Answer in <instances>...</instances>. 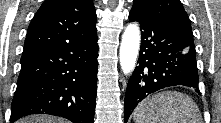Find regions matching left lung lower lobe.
<instances>
[{
  "instance_id": "1",
  "label": "left lung lower lobe",
  "mask_w": 221,
  "mask_h": 123,
  "mask_svg": "<svg viewBox=\"0 0 221 123\" xmlns=\"http://www.w3.org/2000/svg\"><path fill=\"white\" fill-rule=\"evenodd\" d=\"M129 20L139 22L142 42L138 67L126 89L125 123L137 104L155 91L184 85L199 92L192 36L154 20L138 6L132 7Z\"/></svg>"
}]
</instances>
